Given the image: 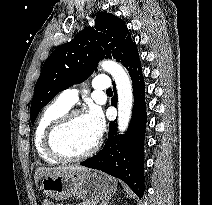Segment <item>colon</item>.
<instances>
[{
  "label": "colon",
  "mask_w": 212,
  "mask_h": 205,
  "mask_svg": "<svg viewBox=\"0 0 212 205\" xmlns=\"http://www.w3.org/2000/svg\"><path fill=\"white\" fill-rule=\"evenodd\" d=\"M41 205H54V203L50 199L45 198L43 199Z\"/></svg>",
  "instance_id": "obj_1"
}]
</instances>
